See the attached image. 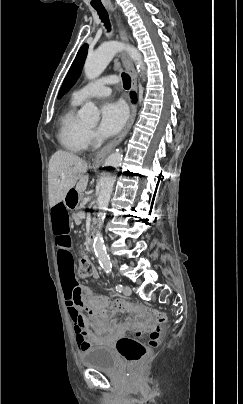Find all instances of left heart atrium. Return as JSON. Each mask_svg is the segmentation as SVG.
Masks as SVG:
<instances>
[{
    "mask_svg": "<svg viewBox=\"0 0 243 404\" xmlns=\"http://www.w3.org/2000/svg\"><path fill=\"white\" fill-rule=\"evenodd\" d=\"M127 117L126 109L120 102L108 100L101 109L97 131L101 136L110 137L124 125Z\"/></svg>",
    "mask_w": 243,
    "mask_h": 404,
    "instance_id": "39dd6f15",
    "label": "left heart atrium"
}]
</instances>
